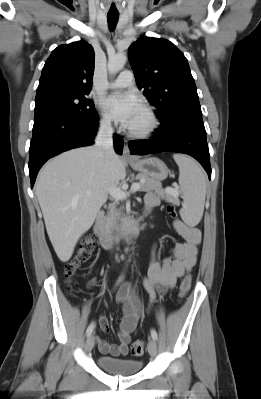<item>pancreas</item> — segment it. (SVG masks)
I'll return each mask as SVG.
<instances>
[{"label": "pancreas", "mask_w": 261, "mask_h": 399, "mask_svg": "<svg viewBox=\"0 0 261 399\" xmlns=\"http://www.w3.org/2000/svg\"><path fill=\"white\" fill-rule=\"evenodd\" d=\"M135 179H139L143 182L140 183V191H155L158 195L165 198H171L172 195L167 192V190L162 189V184L160 181L147 177L143 174H138ZM118 203L114 202L110 206V211L106 217V228L109 232L118 230L127 223V218L122 213V208L117 209L116 205ZM120 222V224H119Z\"/></svg>", "instance_id": "pancreas-1"}]
</instances>
